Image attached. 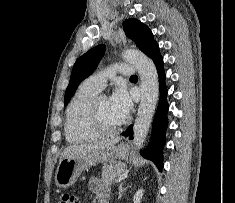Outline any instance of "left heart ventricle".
I'll use <instances>...</instances> for the list:
<instances>
[{
    "label": "left heart ventricle",
    "mask_w": 235,
    "mask_h": 203,
    "mask_svg": "<svg viewBox=\"0 0 235 203\" xmlns=\"http://www.w3.org/2000/svg\"><path fill=\"white\" fill-rule=\"evenodd\" d=\"M99 115L103 125L107 128H115L123 122L112 109L109 99L105 97L99 100Z\"/></svg>",
    "instance_id": "left-heart-ventricle-1"
}]
</instances>
